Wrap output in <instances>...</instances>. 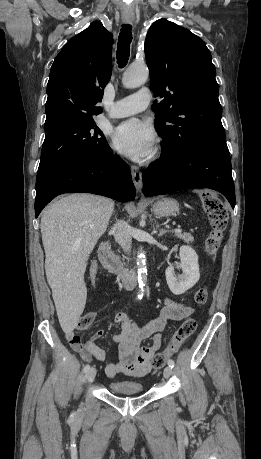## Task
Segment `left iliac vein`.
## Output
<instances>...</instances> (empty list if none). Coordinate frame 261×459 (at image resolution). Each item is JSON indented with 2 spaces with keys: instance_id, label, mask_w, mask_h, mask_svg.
Listing matches in <instances>:
<instances>
[{
  "instance_id": "obj_1",
  "label": "left iliac vein",
  "mask_w": 261,
  "mask_h": 459,
  "mask_svg": "<svg viewBox=\"0 0 261 459\" xmlns=\"http://www.w3.org/2000/svg\"><path fill=\"white\" fill-rule=\"evenodd\" d=\"M163 375L166 379L170 378L172 375V368H170L169 366L165 367Z\"/></svg>"
}]
</instances>
